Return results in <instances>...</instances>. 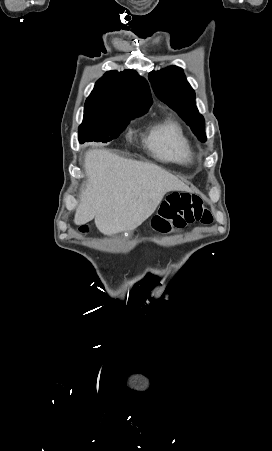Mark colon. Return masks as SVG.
<instances>
[{"label":"colon","mask_w":272,"mask_h":451,"mask_svg":"<svg viewBox=\"0 0 272 451\" xmlns=\"http://www.w3.org/2000/svg\"><path fill=\"white\" fill-rule=\"evenodd\" d=\"M214 218L211 211L205 207L202 197L190 193H174L163 203L159 215L152 219V226L159 231L167 232L173 227H183L189 224L209 225ZM82 226L81 231L85 232Z\"/></svg>","instance_id":"5ec220e1"}]
</instances>
